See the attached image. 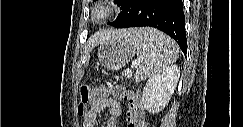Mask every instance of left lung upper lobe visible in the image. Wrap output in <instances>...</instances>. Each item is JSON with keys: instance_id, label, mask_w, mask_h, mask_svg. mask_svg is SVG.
I'll use <instances>...</instances> for the list:
<instances>
[{"instance_id": "5c2ea615", "label": "left lung upper lobe", "mask_w": 243, "mask_h": 127, "mask_svg": "<svg viewBox=\"0 0 243 127\" xmlns=\"http://www.w3.org/2000/svg\"><path fill=\"white\" fill-rule=\"evenodd\" d=\"M127 0H115L116 3H118L119 5H122L123 3H125Z\"/></svg>"}]
</instances>
